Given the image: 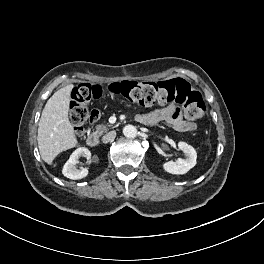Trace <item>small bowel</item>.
<instances>
[{
  "label": "small bowel",
  "mask_w": 264,
  "mask_h": 264,
  "mask_svg": "<svg viewBox=\"0 0 264 264\" xmlns=\"http://www.w3.org/2000/svg\"><path fill=\"white\" fill-rule=\"evenodd\" d=\"M138 120L148 125L165 121L180 132H192L196 129V124L191 120L185 119L181 110L174 104H169L142 116H138Z\"/></svg>",
  "instance_id": "small-bowel-1"
}]
</instances>
